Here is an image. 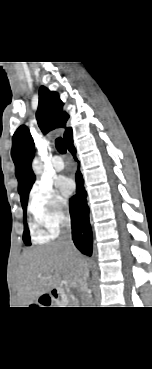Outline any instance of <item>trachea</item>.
<instances>
[{"mask_svg": "<svg viewBox=\"0 0 152 369\" xmlns=\"http://www.w3.org/2000/svg\"><path fill=\"white\" fill-rule=\"evenodd\" d=\"M56 148L57 150L61 153V154H65L66 151H67V148H66V145H65V142L62 138H57L56 139Z\"/></svg>", "mask_w": 152, "mask_h": 369, "instance_id": "trachea-1", "label": "trachea"}]
</instances>
